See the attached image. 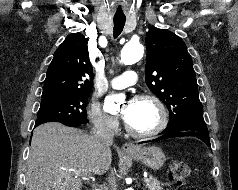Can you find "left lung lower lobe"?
<instances>
[{
	"label": "left lung lower lobe",
	"mask_w": 238,
	"mask_h": 190,
	"mask_svg": "<svg viewBox=\"0 0 238 190\" xmlns=\"http://www.w3.org/2000/svg\"><path fill=\"white\" fill-rule=\"evenodd\" d=\"M196 136L208 146H210V138L208 134L207 125L204 120H192L183 121L178 124L167 126V128L161 132V136L152 141H158L168 139L177 136ZM144 143V142H140Z\"/></svg>",
	"instance_id": "left-lung-lower-lobe-1"
}]
</instances>
